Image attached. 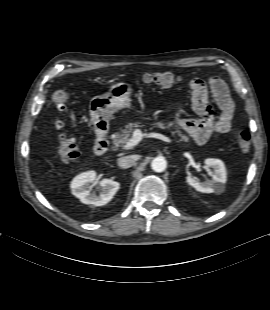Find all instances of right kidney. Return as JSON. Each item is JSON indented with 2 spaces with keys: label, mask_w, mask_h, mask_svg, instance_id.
<instances>
[{
  "label": "right kidney",
  "mask_w": 270,
  "mask_h": 310,
  "mask_svg": "<svg viewBox=\"0 0 270 310\" xmlns=\"http://www.w3.org/2000/svg\"><path fill=\"white\" fill-rule=\"evenodd\" d=\"M91 183L100 185V194L91 193ZM120 184L112 179L96 181V173L88 171L76 176L71 182V191L84 204L103 206L107 204L118 191Z\"/></svg>",
  "instance_id": "ca27d5eb"
}]
</instances>
